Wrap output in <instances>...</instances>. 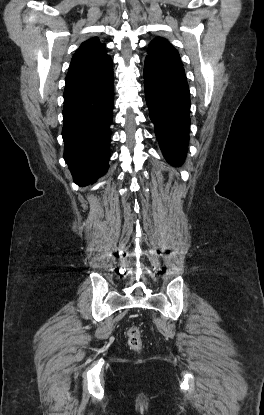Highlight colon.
Wrapping results in <instances>:
<instances>
[{
    "label": "colon",
    "instance_id": "1",
    "mask_svg": "<svg viewBox=\"0 0 264 415\" xmlns=\"http://www.w3.org/2000/svg\"><path fill=\"white\" fill-rule=\"evenodd\" d=\"M128 343L131 348L138 350L141 347L140 330L137 327H131L128 331Z\"/></svg>",
    "mask_w": 264,
    "mask_h": 415
}]
</instances>
